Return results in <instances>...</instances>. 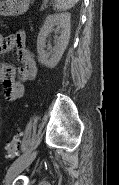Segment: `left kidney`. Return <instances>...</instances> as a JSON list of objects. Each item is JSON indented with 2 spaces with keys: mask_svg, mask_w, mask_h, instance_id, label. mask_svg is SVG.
I'll return each instance as SVG.
<instances>
[{
  "mask_svg": "<svg viewBox=\"0 0 119 185\" xmlns=\"http://www.w3.org/2000/svg\"><path fill=\"white\" fill-rule=\"evenodd\" d=\"M71 14L68 12L60 14L49 15L37 38V52H38V61L42 65L48 68H54L60 61L70 38V24ZM54 27L60 30V36L56 39L55 48L48 52L45 50V41L49 33L54 30Z\"/></svg>",
  "mask_w": 119,
  "mask_h": 185,
  "instance_id": "obj_1",
  "label": "left kidney"
}]
</instances>
